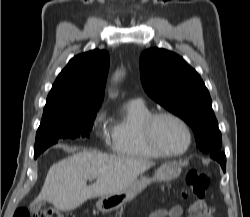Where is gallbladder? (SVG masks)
<instances>
[{
    "mask_svg": "<svg viewBox=\"0 0 250 217\" xmlns=\"http://www.w3.org/2000/svg\"><path fill=\"white\" fill-rule=\"evenodd\" d=\"M44 205H45V202H40V203H36V204L32 205L31 212L37 213L40 210V208Z\"/></svg>",
    "mask_w": 250,
    "mask_h": 217,
    "instance_id": "gallbladder-1",
    "label": "gallbladder"
}]
</instances>
